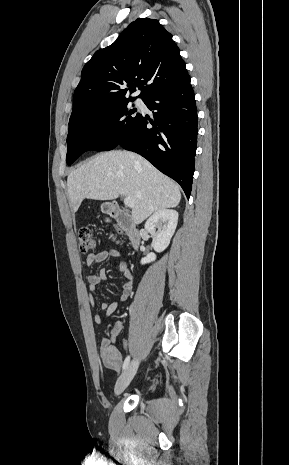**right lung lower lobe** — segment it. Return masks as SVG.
I'll return each instance as SVG.
<instances>
[{"label":"right lung lower lobe","mask_w":289,"mask_h":465,"mask_svg":"<svg viewBox=\"0 0 289 465\" xmlns=\"http://www.w3.org/2000/svg\"><path fill=\"white\" fill-rule=\"evenodd\" d=\"M144 103L154 110V120L142 115L118 145L140 154L178 182L189 199L198 131L197 108L190 80L182 86L158 91L147 97Z\"/></svg>","instance_id":"98d812e1"}]
</instances>
